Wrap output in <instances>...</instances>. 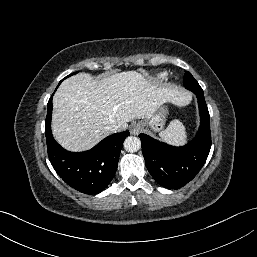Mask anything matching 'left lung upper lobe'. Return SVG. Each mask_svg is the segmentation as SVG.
<instances>
[{"label": "left lung upper lobe", "mask_w": 257, "mask_h": 257, "mask_svg": "<svg viewBox=\"0 0 257 257\" xmlns=\"http://www.w3.org/2000/svg\"><path fill=\"white\" fill-rule=\"evenodd\" d=\"M184 86L186 89L191 90L192 92H203L202 88L198 84V82L194 79L191 73L186 72L184 79Z\"/></svg>", "instance_id": "left-lung-upper-lobe-1"}]
</instances>
